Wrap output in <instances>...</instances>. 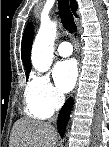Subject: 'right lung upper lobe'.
<instances>
[{
	"label": "right lung upper lobe",
	"mask_w": 109,
	"mask_h": 147,
	"mask_svg": "<svg viewBox=\"0 0 109 147\" xmlns=\"http://www.w3.org/2000/svg\"><path fill=\"white\" fill-rule=\"evenodd\" d=\"M71 9L76 15L77 10V3L75 0H70ZM33 31L34 27L32 23H29L25 29L23 39H22V46H21V56L23 60V64L26 68V74H29L31 70V63H30V53H31V46H32V39H33Z\"/></svg>",
	"instance_id": "right-lung-upper-lobe-1"
}]
</instances>
